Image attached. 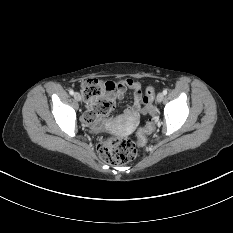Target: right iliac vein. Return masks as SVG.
<instances>
[{
  "label": "right iliac vein",
  "instance_id": "63e3f726",
  "mask_svg": "<svg viewBox=\"0 0 233 233\" xmlns=\"http://www.w3.org/2000/svg\"><path fill=\"white\" fill-rule=\"evenodd\" d=\"M74 98L77 100V101H81L82 97L81 95L77 92L74 94Z\"/></svg>",
  "mask_w": 233,
  "mask_h": 233
}]
</instances>
